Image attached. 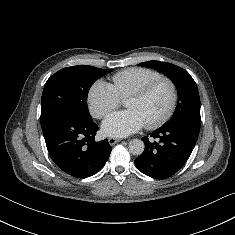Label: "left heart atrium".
I'll list each match as a JSON object with an SVG mask.
<instances>
[{
	"label": "left heart atrium",
	"mask_w": 235,
	"mask_h": 235,
	"mask_svg": "<svg viewBox=\"0 0 235 235\" xmlns=\"http://www.w3.org/2000/svg\"><path fill=\"white\" fill-rule=\"evenodd\" d=\"M145 124L139 112L127 109L109 115L102 124V130L107 135L125 137L139 131Z\"/></svg>",
	"instance_id": "39dd6f15"
}]
</instances>
